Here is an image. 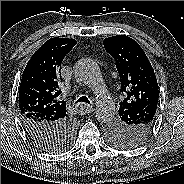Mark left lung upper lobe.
Listing matches in <instances>:
<instances>
[{
	"label": "left lung upper lobe",
	"instance_id": "left-lung-upper-lobe-1",
	"mask_svg": "<svg viewBox=\"0 0 184 184\" xmlns=\"http://www.w3.org/2000/svg\"><path fill=\"white\" fill-rule=\"evenodd\" d=\"M104 47L116 61L121 91L126 94L120 103L119 116L108 128V137L117 148H134L154 126L159 98L157 79L135 40L125 35L112 36L104 39Z\"/></svg>",
	"mask_w": 184,
	"mask_h": 184
}]
</instances>
